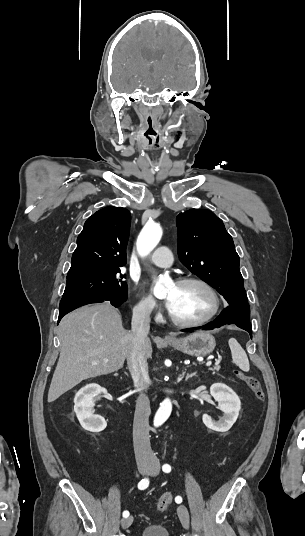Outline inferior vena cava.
<instances>
[{
  "mask_svg": "<svg viewBox=\"0 0 305 536\" xmlns=\"http://www.w3.org/2000/svg\"><path fill=\"white\" fill-rule=\"evenodd\" d=\"M149 306H136L133 310L131 320L132 346L128 352L127 364L134 382V386L142 390L149 382L148 366L143 352V346L150 330ZM151 414L149 398L145 394H140L135 408L133 422V444L136 460L150 462L154 454L151 450L149 440V416Z\"/></svg>",
  "mask_w": 305,
  "mask_h": 536,
  "instance_id": "inferior-vena-cava-1",
  "label": "inferior vena cava"
}]
</instances>
